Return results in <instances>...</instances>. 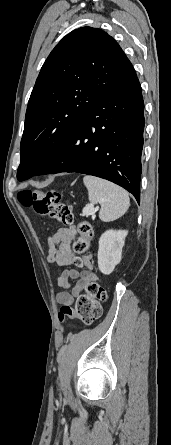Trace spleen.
<instances>
[{
    "instance_id": "3e777b00",
    "label": "spleen",
    "mask_w": 171,
    "mask_h": 445,
    "mask_svg": "<svg viewBox=\"0 0 171 445\" xmlns=\"http://www.w3.org/2000/svg\"><path fill=\"white\" fill-rule=\"evenodd\" d=\"M83 182L88 190L89 201L101 206L99 218L102 221L116 220L128 210L130 199L121 187L94 176H85Z\"/></svg>"
}]
</instances>
